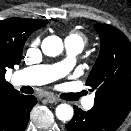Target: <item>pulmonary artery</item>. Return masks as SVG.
<instances>
[{
	"label": "pulmonary artery",
	"mask_w": 131,
	"mask_h": 131,
	"mask_svg": "<svg viewBox=\"0 0 131 131\" xmlns=\"http://www.w3.org/2000/svg\"><path fill=\"white\" fill-rule=\"evenodd\" d=\"M65 46L70 55H77L83 50V45L79 42L65 41ZM73 61L71 58L53 64L32 66L18 71L15 78L19 84L43 85L50 83L64 76L71 68ZM82 105L90 109L94 105V98H87Z\"/></svg>",
	"instance_id": "obj_1"
}]
</instances>
